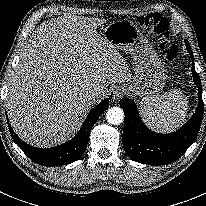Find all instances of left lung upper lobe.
Returning <instances> with one entry per match:
<instances>
[{
  "label": "left lung upper lobe",
  "instance_id": "1",
  "mask_svg": "<svg viewBox=\"0 0 206 206\" xmlns=\"http://www.w3.org/2000/svg\"><path fill=\"white\" fill-rule=\"evenodd\" d=\"M186 45H187V46H190L188 41L186 42Z\"/></svg>",
  "mask_w": 206,
  "mask_h": 206
}]
</instances>
